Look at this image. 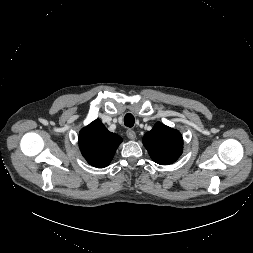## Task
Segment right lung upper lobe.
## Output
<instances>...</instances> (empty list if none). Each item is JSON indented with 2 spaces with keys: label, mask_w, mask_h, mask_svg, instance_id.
Segmentation results:
<instances>
[{
  "label": "right lung upper lobe",
  "mask_w": 253,
  "mask_h": 253,
  "mask_svg": "<svg viewBox=\"0 0 253 253\" xmlns=\"http://www.w3.org/2000/svg\"><path fill=\"white\" fill-rule=\"evenodd\" d=\"M122 138L109 132L99 119L83 128L79 134V147L87 162L97 168L109 165Z\"/></svg>",
  "instance_id": "obj_1"
}]
</instances>
